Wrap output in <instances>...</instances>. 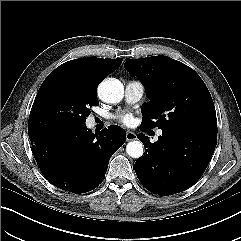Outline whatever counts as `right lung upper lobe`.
<instances>
[{"instance_id": "obj_1", "label": "right lung upper lobe", "mask_w": 241, "mask_h": 241, "mask_svg": "<svg viewBox=\"0 0 241 241\" xmlns=\"http://www.w3.org/2000/svg\"><path fill=\"white\" fill-rule=\"evenodd\" d=\"M122 62V58L102 59L85 57L75 59L57 67L48 77L54 75H65L75 81L86 93L96 95L100 82Z\"/></svg>"}]
</instances>
